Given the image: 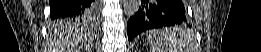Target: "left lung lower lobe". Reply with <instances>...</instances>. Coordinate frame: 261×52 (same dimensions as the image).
Returning a JSON list of instances; mask_svg holds the SVG:
<instances>
[{
	"instance_id": "1",
	"label": "left lung lower lobe",
	"mask_w": 261,
	"mask_h": 52,
	"mask_svg": "<svg viewBox=\"0 0 261 52\" xmlns=\"http://www.w3.org/2000/svg\"><path fill=\"white\" fill-rule=\"evenodd\" d=\"M184 4L181 0H141L138 12L128 21L127 33L131 41L138 34L162 27L186 26Z\"/></svg>"
}]
</instances>
